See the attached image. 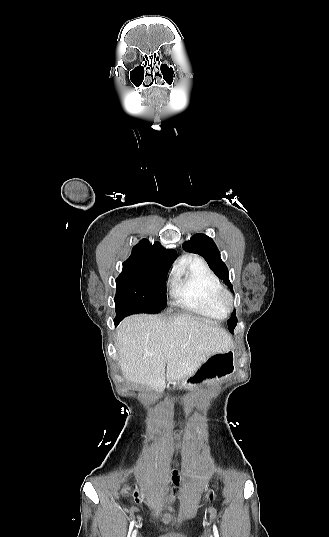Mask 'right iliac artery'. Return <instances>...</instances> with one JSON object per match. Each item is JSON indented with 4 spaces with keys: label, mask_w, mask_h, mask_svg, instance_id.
Wrapping results in <instances>:
<instances>
[{
    "label": "right iliac artery",
    "mask_w": 329,
    "mask_h": 537,
    "mask_svg": "<svg viewBox=\"0 0 329 537\" xmlns=\"http://www.w3.org/2000/svg\"><path fill=\"white\" fill-rule=\"evenodd\" d=\"M134 524H135V521L133 520V521L131 522V524H130V527H129L128 537H130V534H131V532H132V529H133V527H134Z\"/></svg>",
    "instance_id": "1"
}]
</instances>
